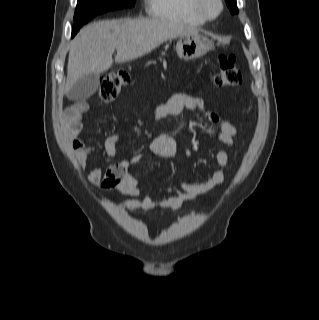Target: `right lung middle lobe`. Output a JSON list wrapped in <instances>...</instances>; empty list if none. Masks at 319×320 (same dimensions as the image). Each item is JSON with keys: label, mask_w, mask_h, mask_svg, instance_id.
I'll use <instances>...</instances> for the list:
<instances>
[{"label": "right lung middle lobe", "mask_w": 319, "mask_h": 320, "mask_svg": "<svg viewBox=\"0 0 319 320\" xmlns=\"http://www.w3.org/2000/svg\"><path fill=\"white\" fill-rule=\"evenodd\" d=\"M134 3L135 0H78L72 32H78L84 23L98 14L115 9L130 8Z\"/></svg>", "instance_id": "dd1d6c3e"}]
</instances>
